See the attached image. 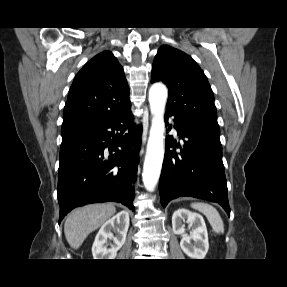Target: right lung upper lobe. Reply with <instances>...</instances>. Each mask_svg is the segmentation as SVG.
Returning a JSON list of instances; mask_svg holds the SVG:
<instances>
[{"label": "right lung upper lobe", "instance_id": "obj_1", "mask_svg": "<svg viewBox=\"0 0 287 287\" xmlns=\"http://www.w3.org/2000/svg\"><path fill=\"white\" fill-rule=\"evenodd\" d=\"M130 105L123 67L110 51H104L87 62L74 78L62 127L86 126Z\"/></svg>", "mask_w": 287, "mask_h": 287}]
</instances>
